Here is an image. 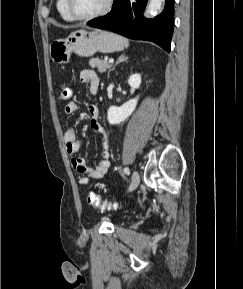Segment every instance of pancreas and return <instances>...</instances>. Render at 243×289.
Listing matches in <instances>:
<instances>
[{"instance_id":"obj_1","label":"pancreas","mask_w":243,"mask_h":289,"mask_svg":"<svg viewBox=\"0 0 243 289\" xmlns=\"http://www.w3.org/2000/svg\"><path fill=\"white\" fill-rule=\"evenodd\" d=\"M89 64L92 68H97L100 73H103L111 68V64L106 59L91 58Z\"/></svg>"}]
</instances>
